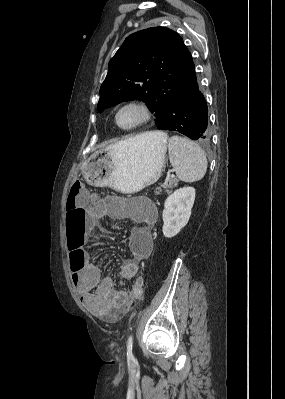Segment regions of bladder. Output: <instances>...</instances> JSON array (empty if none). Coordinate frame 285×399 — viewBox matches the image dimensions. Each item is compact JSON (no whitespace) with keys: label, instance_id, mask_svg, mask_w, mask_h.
<instances>
[{"label":"bladder","instance_id":"obj_1","mask_svg":"<svg viewBox=\"0 0 285 399\" xmlns=\"http://www.w3.org/2000/svg\"><path fill=\"white\" fill-rule=\"evenodd\" d=\"M132 199H137L142 205L146 207V209L149 210V212H155V204L154 202L147 198V197H138V198H132Z\"/></svg>","mask_w":285,"mask_h":399}]
</instances>
